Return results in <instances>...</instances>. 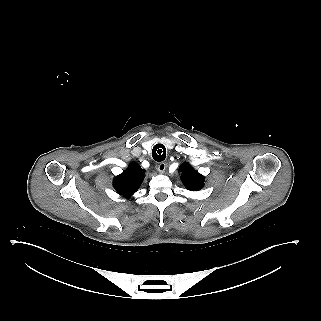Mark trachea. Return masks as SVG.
<instances>
[{
    "instance_id": "obj_1",
    "label": "trachea",
    "mask_w": 321,
    "mask_h": 321,
    "mask_svg": "<svg viewBox=\"0 0 321 321\" xmlns=\"http://www.w3.org/2000/svg\"><path fill=\"white\" fill-rule=\"evenodd\" d=\"M153 159L157 162H161L166 157V150L163 144H156L152 149Z\"/></svg>"
}]
</instances>
